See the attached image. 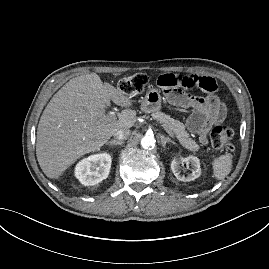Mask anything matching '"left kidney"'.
I'll return each mask as SVG.
<instances>
[{"label": "left kidney", "instance_id": "left-kidney-1", "mask_svg": "<svg viewBox=\"0 0 269 269\" xmlns=\"http://www.w3.org/2000/svg\"><path fill=\"white\" fill-rule=\"evenodd\" d=\"M186 163L192 166V173L188 174L187 176L180 175V166ZM171 169L175 177L179 181L188 182L193 181L201 175V167H200V160L195 156H188L186 158H174L171 162Z\"/></svg>", "mask_w": 269, "mask_h": 269}]
</instances>
